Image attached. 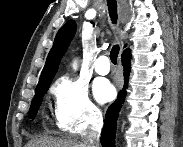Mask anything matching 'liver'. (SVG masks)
Here are the masks:
<instances>
[{"label":"liver","instance_id":"1","mask_svg":"<svg viewBox=\"0 0 183 147\" xmlns=\"http://www.w3.org/2000/svg\"><path fill=\"white\" fill-rule=\"evenodd\" d=\"M27 147H86L83 142L72 139H54L43 137L27 144Z\"/></svg>","mask_w":183,"mask_h":147}]
</instances>
